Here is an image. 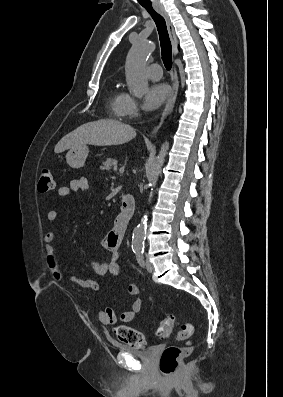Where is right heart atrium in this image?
I'll return each instance as SVG.
<instances>
[{
    "label": "right heart atrium",
    "mask_w": 283,
    "mask_h": 397,
    "mask_svg": "<svg viewBox=\"0 0 283 397\" xmlns=\"http://www.w3.org/2000/svg\"><path fill=\"white\" fill-rule=\"evenodd\" d=\"M140 111V106L137 100L132 96L125 94L120 107V116L133 119L140 115Z\"/></svg>",
    "instance_id": "1"
}]
</instances>
